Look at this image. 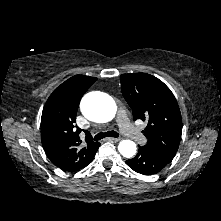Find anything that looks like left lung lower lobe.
<instances>
[{"instance_id": "left-lung-lower-lobe-1", "label": "left lung lower lobe", "mask_w": 221, "mask_h": 221, "mask_svg": "<svg viewBox=\"0 0 221 221\" xmlns=\"http://www.w3.org/2000/svg\"><path fill=\"white\" fill-rule=\"evenodd\" d=\"M172 159L152 148L142 146L139 147L137 155L127 160L126 164L137 173L151 175L164 169Z\"/></svg>"}]
</instances>
